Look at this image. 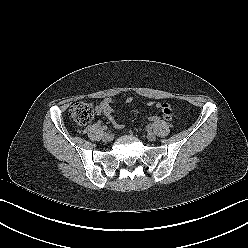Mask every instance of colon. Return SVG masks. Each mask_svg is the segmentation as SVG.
Instances as JSON below:
<instances>
[{"mask_svg": "<svg viewBox=\"0 0 248 248\" xmlns=\"http://www.w3.org/2000/svg\"><path fill=\"white\" fill-rule=\"evenodd\" d=\"M69 115L76 125L85 126L93 119V106L88 102H76L71 106ZM148 120L156 122L160 120V117L157 115H151L148 117Z\"/></svg>", "mask_w": 248, "mask_h": 248, "instance_id": "1", "label": "colon"}]
</instances>
